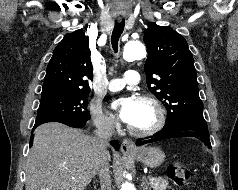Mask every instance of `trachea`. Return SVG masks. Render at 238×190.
Masks as SVG:
<instances>
[{
	"mask_svg": "<svg viewBox=\"0 0 238 190\" xmlns=\"http://www.w3.org/2000/svg\"><path fill=\"white\" fill-rule=\"evenodd\" d=\"M124 26H125L124 19L120 22L115 21L114 29H113L112 36H111V43H112V47L115 52H117L118 40H119L121 34L123 33Z\"/></svg>",
	"mask_w": 238,
	"mask_h": 190,
	"instance_id": "obj_1",
	"label": "trachea"
}]
</instances>
